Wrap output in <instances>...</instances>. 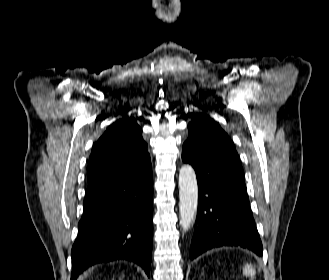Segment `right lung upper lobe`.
I'll return each mask as SVG.
<instances>
[{
  "label": "right lung upper lobe",
  "instance_id": "obj_1",
  "mask_svg": "<svg viewBox=\"0 0 329 280\" xmlns=\"http://www.w3.org/2000/svg\"><path fill=\"white\" fill-rule=\"evenodd\" d=\"M151 169L142 129L133 117L113 123L94 144L89 158L88 183L113 174L145 172Z\"/></svg>",
  "mask_w": 329,
  "mask_h": 280
}]
</instances>
